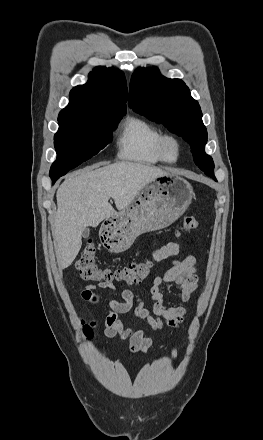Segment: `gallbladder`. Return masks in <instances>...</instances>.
<instances>
[{
	"label": "gallbladder",
	"mask_w": 263,
	"mask_h": 440,
	"mask_svg": "<svg viewBox=\"0 0 263 440\" xmlns=\"http://www.w3.org/2000/svg\"><path fill=\"white\" fill-rule=\"evenodd\" d=\"M82 236H83L84 238L89 237V229H88V228H85V229L83 230V232H82Z\"/></svg>",
	"instance_id": "obj_1"
}]
</instances>
